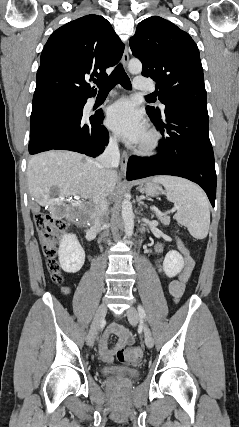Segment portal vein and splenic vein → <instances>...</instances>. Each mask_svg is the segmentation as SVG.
Listing matches in <instances>:
<instances>
[{
    "label": "portal vein and splenic vein",
    "instance_id": "obj_1",
    "mask_svg": "<svg viewBox=\"0 0 239 427\" xmlns=\"http://www.w3.org/2000/svg\"><path fill=\"white\" fill-rule=\"evenodd\" d=\"M178 208H179L178 206H175V207H174V210H176V209H178ZM156 212H157V211H156ZM157 213H158V212H157ZM158 214H160V213H158Z\"/></svg>",
    "mask_w": 239,
    "mask_h": 427
}]
</instances>
